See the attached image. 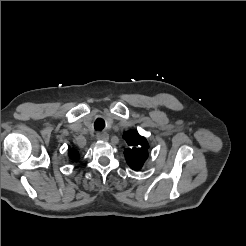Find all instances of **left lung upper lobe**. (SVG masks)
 I'll return each mask as SVG.
<instances>
[{"instance_id": "1", "label": "left lung upper lobe", "mask_w": 246, "mask_h": 246, "mask_svg": "<svg viewBox=\"0 0 246 246\" xmlns=\"http://www.w3.org/2000/svg\"><path fill=\"white\" fill-rule=\"evenodd\" d=\"M124 139L129 145V148L124 151L128 165L133 170L141 169L148 158L149 145L146 138L140 136L136 131H128L124 134Z\"/></svg>"}]
</instances>
